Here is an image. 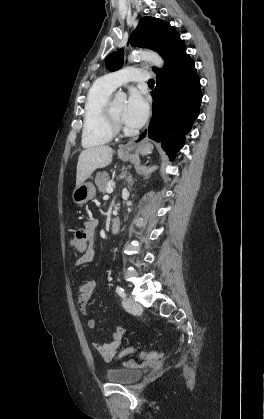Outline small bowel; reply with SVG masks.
<instances>
[{"instance_id": "small-bowel-1", "label": "small bowel", "mask_w": 264, "mask_h": 419, "mask_svg": "<svg viewBox=\"0 0 264 419\" xmlns=\"http://www.w3.org/2000/svg\"><path fill=\"white\" fill-rule=\"evenodd\" d=\"M97 225L98 222L95 219H89L84 223L85 230L87 231L88 236L91 240H93L95 237ZM94 253V246L93 244H91L88 247L86 253L83 254L80 258H78L75 264L79 266L91 262L94 258ZM95 288L96 283L94 280L82 281L77 286L78 307L80 312L84 315H87L88 313L87 305L95 291ZM95 325L96 321L94 319H89L87 321V327L89 329H93ZM125 332L126 330L123 327H116L112 332L110 339L107 342L102 343L98 341H93L92 346L101 355L104 361L109 362L118 354Z\"/></svg>"}]
</instances>
